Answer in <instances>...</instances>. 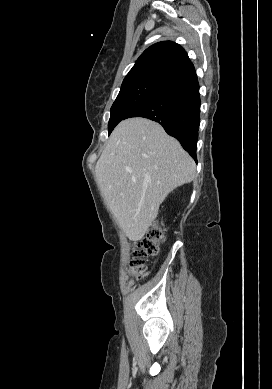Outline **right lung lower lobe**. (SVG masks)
<instances>
[{
  "mask_svg": "<svg viewBox=\"0 0 272 389\" xmlns=\"http://www.w3.org/2000/svg\"><path fill=\"white\" fill-rule=\"evenodd\" d=\"M199 83L195 72L180 77L144 99L124 117L158 122L196 161L200 123Z\"/></svg>",
  "mask_w": 272,
  "mask_h": 389,
  "instance_id": "1",
  "label": "right lung lower lobe"
}]
</instances>
